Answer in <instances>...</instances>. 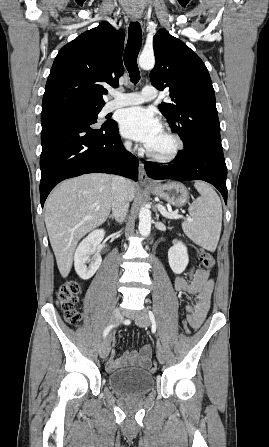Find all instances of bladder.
<instances>
[{
	"instance_id": "1",
	"label": "bladder",
	"mask_w": 269,
	"mask_h": 447,
	"mask_svg": "<svg viewBox=\"0 0 269 447\" xmlns=\"http://www.w3.org/2000/svg\"><path fill=\"white\" fill-rule=\"evenodd\" d=\"M107 384L122 397H143L154 388V375L148 370L123 368L110 372Z\"/></svg>"
}]
</instances>
